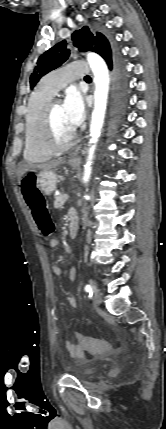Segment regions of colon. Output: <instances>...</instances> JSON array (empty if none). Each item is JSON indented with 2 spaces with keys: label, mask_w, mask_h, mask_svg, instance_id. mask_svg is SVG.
Listing matches in <instances>:
<instances>
[{
  "label": "colon",
  "mask_w": 166,
  "mask_h": 429,
  "mask_svg": "<svg viewBox=\"0 0 166 429\" xmlns=\"http://www.w3.org/2000/svg\"><path fill=\"white\" fill-rule=\"evenodd\" d=\"M22 194L31 210L34 220L44 236H49L54 231V223L47 209L46 200L40 193L35 175L30 172L22 181ZM75 338L79 345L91 353H107L112 350V345L106 340H97L76 332Z\"/></svg>",
  "instance_id": "obj_1"
}]
</instances>
